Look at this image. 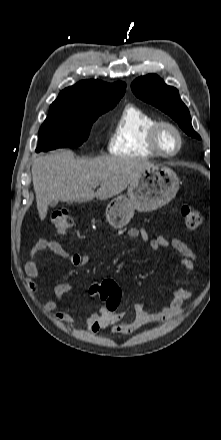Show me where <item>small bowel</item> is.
<instances>
[{"mask_svg": "<svg viewBox=\"0 0 221 440\" xmlns=\"http://www.w3.org/2000/svg\"><path fill=\"white\" fill-rule=\"evenodd\" d=\"M128 237L132 239L141 238L143 241L148 240V234L143 229L132 227L127 232ZM152 250L157 251L161 247H171L179 253L176 262L189 271L196 269V256L191 248L179 239L167 240L162 236H157L150 241ZM51 251L62 259L68 261L75 267H84L91 262L90 255H81L68 252L59 242L53 240H38L31 249L30 258L25 264V272L27 275L26 286L29 291L36 292L37 285L35 279L39 276V271L35 258L40 252ZM76 286L72 283L63 282L55 286V300L44 303L43 308L46 311H55L63 302L66 295L75 293ZM193 296L192 291L177 286L173 289L172 298L168 305L162 306L156 312L147 311L145 304L141 301L135 302L132 306L134 317L130 321L123 322L124 312H118L117 315H108L105 306L99 312H89L85 317L87 330L91 333H98L108 327H112L115 334L129 335L137 332L143 326L154 323L168 321L177 316L182 311V305L185 300ZM55 318L65 324L75 322L76 316L70 312H56Z\"/></svg>", "mask_w": 221, "mask_h": 440, "instance_id": "small-bowel-1", "label": "small bowel"}]
</instances>
